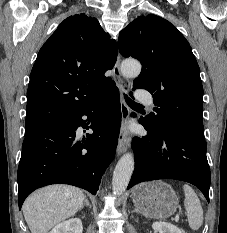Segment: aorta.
<instances>
[{"instance_id":"aorta-1","label":"aorta","mask_w":227,"mask_h":233,"mask_svg":"<svg viewBox=\"0 0 227 233\" xmlns=\"http://www.w3.org/2000/svg\"><path fill=\"white\" fill-rule=\"evenodd\" d=\"M121 72L127 77H136L141 72V64L136 60H125L121 64ZM134 170V157L131 153L124 154L118 161L112 179L114 194L125 192Z\"/></svg>"}]
</instances>
